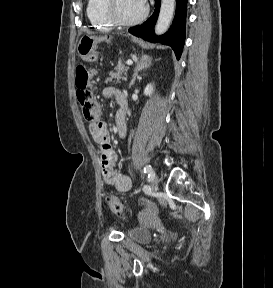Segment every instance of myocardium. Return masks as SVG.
I'll use <instances>...</instances> for the list:
<instances>
[{"mask_svg":"<svg viewBox=\"0 0 273 288\" xmlns=\"http://www.w3.org/2000/svg\"><path fill=\"white\" fill-rule=\"evenodd\" d=\"M116 0H103L104 17L113 25L128 27L141 23L148 15V6L144 4V10L140 16L131 20L120 19L115 13Z\"/></svg>","mask_w":273,"mask_h":288,"instance_id":"1","label":"myocardium"}]
</instances>
